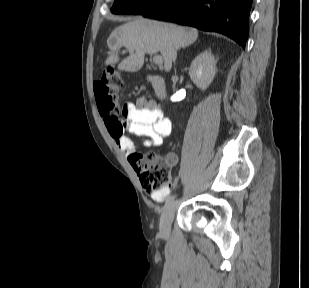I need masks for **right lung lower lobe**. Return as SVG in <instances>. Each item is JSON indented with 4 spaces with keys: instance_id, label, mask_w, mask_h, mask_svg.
I'll return each instance as SVG.
<instances>
[{
    "instance_id": "obj_1",
    "label": "right lung lower lobe",
    "mask_w": 309,
    "mask_h": 288,
    "mask_svg": "<svg viewBox=\"0 0 309 288\" xmlns=\"http://www.w3.org/2000/svg\"><path fill=\"white\" fill-rule=\"evenodd\" d=\"M252 0H165L142 15L224 34L245 48Z\"/></svg>"
}]
</instances>
